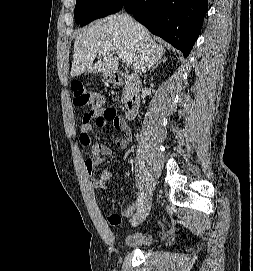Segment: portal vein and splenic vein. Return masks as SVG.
I'll list each match as a JSON object with an SVG mask.
<instances>
[{
  "label": "portal vein and splenic vein",
  "mask_w": 253,
  "mask_h": 271,
  "mask_svg": "<svg viewBox=\"0 0 253 271\" xmlns=\"http://www.w3.org/2000/svg\"><path fill=\"white\" fill-rule=\"evenodd\" d=\"M117 55L119 56V58L122 59V61L127 65L130 66L133 64L132 59L129 57V55L127 53H125L124 51H116ZM100 54H105V51L102 50L100 51Z\"/></svg>",
  "instance_id": "1"
}]
</instances>
